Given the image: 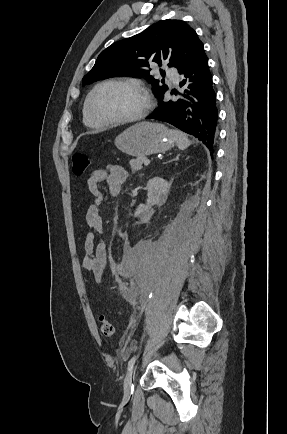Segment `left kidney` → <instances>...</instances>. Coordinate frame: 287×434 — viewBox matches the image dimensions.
<instances>
[{
    "label": "left kidney",
    "mask_w": 287,
    "mask_h": 434,
    "mask_svg": "<svg viewBox=\"0 0 287 434\" xmlns=\"http://www.w3.org/2000/svg\"><path fill=\"white\" fill-rule=\"evenodd\" d=\"M148 199L147 206L158 204L167 195L169 184L166 180L160 177H154L147 182ZM144 212L141 207L135 212V216H139Z\"/></svg>",
    "instance_id": "1"
}]
</instances>
